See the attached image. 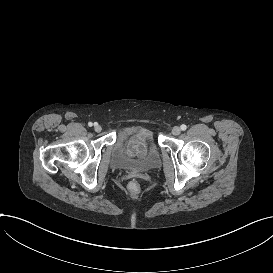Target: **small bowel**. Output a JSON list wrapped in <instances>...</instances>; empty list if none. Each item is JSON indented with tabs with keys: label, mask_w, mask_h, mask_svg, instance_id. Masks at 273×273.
I'll list each match as a JSON object with an SVG mask.
<instances>
[{
	"label": "small bowel",
	"mask_w": 273,
	"mask_h": 273,
	"mask_svg": "<svg viewBox=\"0 0 273 273\" xmlns=\"http://www.w3.org/2000/svg\"><path fill=\"white\" fill-rule=\"evenodd\" d=\"M149 135H148V133H142L141 135H140V140L142 141V137H148ZM143 146L141 145V146H139V149H138V153L140 154V155H142L143 154Z\"/></svg>",
	"instance_id": "obj_1"
}]
</instances>
